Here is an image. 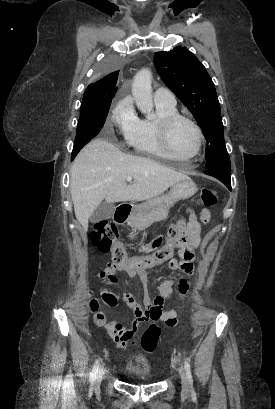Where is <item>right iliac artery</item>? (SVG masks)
Listing matches in <instances>:
<instances>
[{
  "instance_id": "1",
  "label": "right iliac artery",
  "mask_w": 275,
  "mask_h": 409,
  "mask_svg": "<svg viewBox=\"0 0 275 409\" xmlns=\"http://www.w3.org/2000/svg\"><path fill=\"white\" fill-rule=\"evenodd\" d=\"M98 369H99V359L95 361L92 372L90 373V378H89L90 383H93L95 381L96 374L98 373Z\"/></svg>"
}]
</instances>
